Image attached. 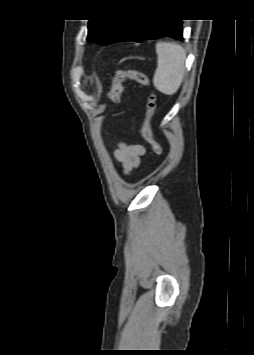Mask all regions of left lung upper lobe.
<instances>
[{
    "label": "left lung upper lobe",
    "instance_id": "5c2ea615",
    "mask_svg": "<svg viewBox=\"0 0 254 355\" xmlns=\"http://www.w3.org/2000/svg\"><path fill=\"white\" fill-rule=\"evenodd\" d=\"M129 20H89L87 41L104 45L112 44L121 36Z\"/></svg>",
    "mask_w": 254,
    "mask_h": 355
}]
</instances>
